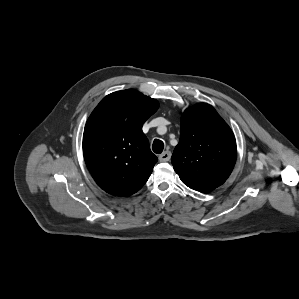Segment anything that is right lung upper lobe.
<instances>
[{
  "label": "right lung upper lobe",
  "instance_id": "1",
  "mask_svg": "<svg viewBox=\"0 0 299 299\" xmlns=\"http://www.w3.org/2000/svg\"><path fill=\"white\" fill-rule=\"evenodd\" d=\"M158 101L128 89L107 95L85 125L83 155L96 183L116 196L134 194L148 180L157 157L142 126Z\"/></svg>",
  "mask_w": 299,
  "mask_h": 299
}]
</instances>
